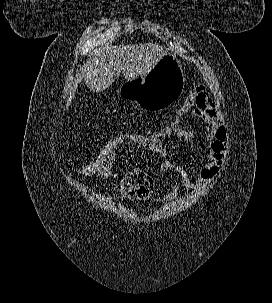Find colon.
I'll use <instances>...</instances> for the list:
<instances>
[{
	"label": "colon",
	"mask_w": 272,
	"mask_h": 303,
	"mask_svg": "<svg viewBox=\"0 0 272 303\" xmlns=\"http://www.w3.org/2000/svg\"><path fill=\"white\" fill-rule=\"evenodd\" d=\"M179 126L181 123L173 117L150 132L116 135L109 139L92 158L79 164L75 169V175L82 179H90L112 172L115 169V159L122 151L128 147L137 146L140 142H162L165 138L172 136ZM152 189V177L142 172L139 184L129 196L133 199H143L151 193Z\"/></svg>",
	"instance_id": "colon-1"
}]
</instances>
